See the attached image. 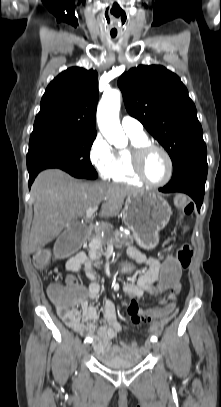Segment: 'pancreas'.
Here are the masks:
<instances>
[{
	"mask_svg": "<svg viewBox=\"0 0 221 407\" xmlns=\"http://www.w3.org/2000/svg\"><path fill=\"white\" fill-rule=\"evenodd\" d=\"M99 238H100L99 230H96L95 234L90 238L89 254H90V258L92 260L99 259L102 256L105 245L113 244L116 247H122V246L130 247V246H132V244L134 242V238L132 235L125 234L118 230H116L112 233H109V235H106L104 238L103 244L100 247H97L95 245V242Z\"/></svg>",
	"mask_w": 221,
	"mask_h": 407,
	"instance_id": "obj_1",
	"label": "pancreas"
}]
</instances>
